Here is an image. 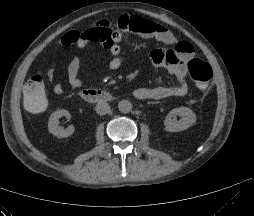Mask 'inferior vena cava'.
<instances>
[{"instance_id":"obj_1","label":"inferior vena cava","mask_w":254,"mask_h":216,"mask_svg":"<svg viewBox=\"0 0 254 216\" xmlns=\"http://www.w3.org/2000/svg\"><path fill=\"white\" fill-rule=\"evenodd\" d=\"M95 110L97 114L104 115L110 111V106L108 103L100 101L97 103Z\"/></svg>"}]
</instances>
